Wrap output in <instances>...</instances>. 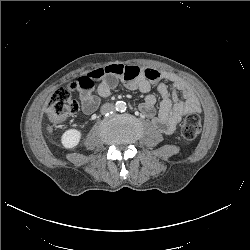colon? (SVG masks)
I'll use <instances>...</instances> for the list:
<instances>
[{
  "label": "colon",
  "instance_id": "5ec220e1",
  "mask_svg": "<svg viewBox=\"0 0 250 250\" xmlns=\"http://www.w3.org/2000/svg\"><path fill=\"white\" fill-rule=\"evenodd\" d=\"M77 83L72 82L56 91L48 102L46 115L52 125H56L78 112L79 106L72 99L71 94L77 88ZM51 130V127L49 128ZM201 132L200 117L191 113L185 117L181 124V134L184 138L192 140Z\"/></svg>",
  "mask_w": 250,
  "mask_h": 250
}]
</instances>
